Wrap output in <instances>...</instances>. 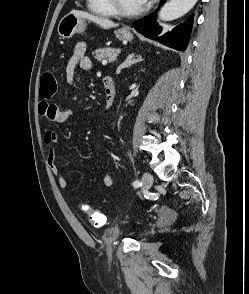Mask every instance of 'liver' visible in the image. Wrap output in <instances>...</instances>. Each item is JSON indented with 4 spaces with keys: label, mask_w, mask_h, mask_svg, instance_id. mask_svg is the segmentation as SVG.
<instances>
[{
    "label": "liver",
    "mask_w": 249,
    "mask_h": 294,
    "mask_svg": "<svg viewBox=\"0 0 249 294\" xmlns=\"http://www.w3.org/2000/svg\"><path fill=\"white\" fill-rule=\"evenodd\" d=\"M71 12L84 18V19H88L90 21H93L94 23L98 24L103 29H110V28L118 26V24H115L113 21H111L107 18H104V17H98L95 15L89 14L87 12L78 11V10H73Z\"/></svg>",
    "instance_id": "6515ba94"
}]
</instances>
